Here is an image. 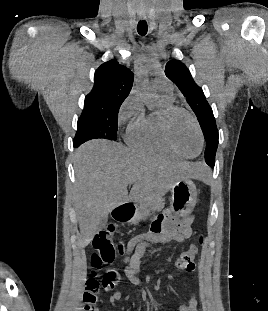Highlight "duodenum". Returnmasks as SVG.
Here are the masks:
<instances>
[{
	"label": "duodenum",
	"mask_w": 268,
	"mask_h": 311,
	"mask_svg": "<svg viewBox=\"0 0 268 311\" xmlns=\"http://www.w3.org/2000/svg\"><path fill=\"white\" fill-rule=\"evenodd\" d=\"M134 212V206L131 203H123L117 206L113 211L114 219L119 223L126 222Z\"/></svg>",
	"instance_id": "duodenum-1"
}]
</instances>
